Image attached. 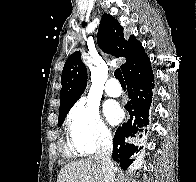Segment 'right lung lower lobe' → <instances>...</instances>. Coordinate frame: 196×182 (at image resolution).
Here are the masks:
<instances>
[{
  "mask_svg": "<svg viewBox=\"0 0 196 182\" xmlns=\"http://www.w3.org/2000/svg\"><path fill=\"white\" fill-rule=\"evenodd\" d=\"M124 78L130 99L125 105V109L129 112L130 119L116 130L112 158L119 163L122 169H127L133 161L129 157L138 152V147L129 144L127 140L140 133L142 128L149 124L154 75L148 56L127 71Z\"/></svg>",
  "mask_w": 196,
  "mask_h": 182,
  "instance_id": "1",
  "label": "right lung lower lobe"
}]
</instances>
